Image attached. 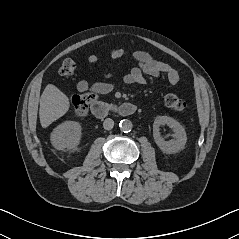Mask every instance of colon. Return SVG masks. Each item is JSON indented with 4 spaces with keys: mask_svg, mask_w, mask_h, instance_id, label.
Masks as SVG:
<instances>
[{
    "mask_svg": "<svg viewBox=\"0 0 239 239\" xmlns=\"http://www.w3.org/2000/svg\"><path fill=\"white\" fill-rule=\"evenodd\" d=\"M76 68L77 65L75 61L71 58H67L62 62L59 68V74L64 77L70 76L74 74ZM94 98L95 95L92 93L76 95L72 102L76 116L84 117L88 113L89 105ZM165 103L169 108L183 114L187 113L189 110V105L177 95L172 93L165 96Z\"/></svg>",
    "mask_w": 239,
    "mask_h": 239,
    "instance_id": "obj_1",
    "label": "colon"
}]
</instances>
